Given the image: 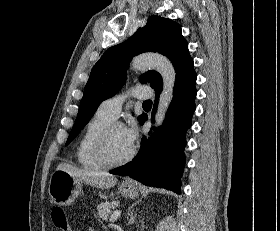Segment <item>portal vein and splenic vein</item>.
<instances>
[{"instance_id":"18ae733b","label":"portal vein and splenic vein","mask_w":280,"mask_h":231,"mask_svg":"<svg viewBox=\"0 0 280 231\" xmlns=\"http://www.w3.org/2000/svg\"><path fill=\"white\" fill-rule=\"evenodd\" d=\"M119 215H121L120 209H116V211H113V213H111V217H110V221H112V223H109V225H113V221H116V219H118Z\"/></svg>"}]
</instances>
